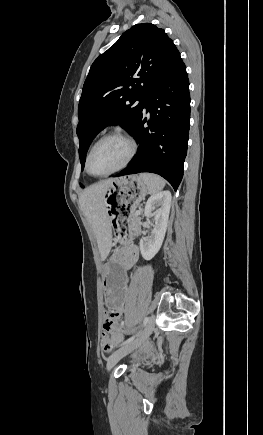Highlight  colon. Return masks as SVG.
Segmentation results:
<instances>
[{"label": "colon", "mask_w": 263, "mask_h": 435, "mask_svg": "<svg viewBox=\"0 0 263 435\" xmlns=\"http://www.w3.org/2000/svg\"><path fill=\"white\" fill-rule=\"evenodd\" d=\"M120 329H137V328H141L142 326L139 324V325H137V324H126V322L125 321H120L119 322V326H118ZM139 332L137 331V330H126L125 331V334L126 335H137ZM103 336H104V334H103ZM102 341H103V338H102ZM115 341H118L116 338H115Z\"/></svg>", "instance_id": "1"}]
</instances>
